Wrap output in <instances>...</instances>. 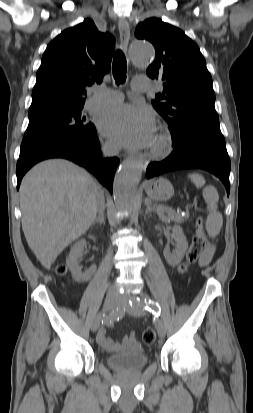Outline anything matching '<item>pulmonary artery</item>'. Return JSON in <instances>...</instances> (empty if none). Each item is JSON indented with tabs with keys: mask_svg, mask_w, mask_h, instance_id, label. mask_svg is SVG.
<instances>
[{
	"mask_svg": "<svg viewBox=\"0 0 253 413\" xmlns=\"http://www.w3.org/2000/svg\"><path fill=\"white\" fill-rule=\"evenodd\" d=\"M149 88L147 83L141 86H134L136 91H146ZM122 100L119 92L109 89H95L92 97L87 102V108H103L116 104Z\"/></svg>",
	"mask_w": 253,
	"mask_h": 413,
	"instance_id": "obj_1",
	"label": "pulmonary artery"
}]
</instances>
